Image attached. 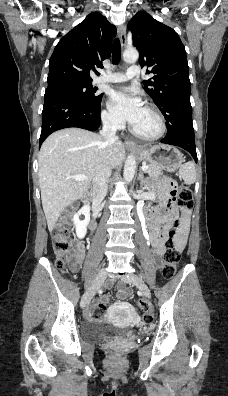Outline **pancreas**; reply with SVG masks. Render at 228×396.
I'll use <instances>...</instances> for the list:
<instances>
[{
  "label": "pancreas",
  "instance_id": "cf45deb5",
  "mask_svg": "<svg viewBox=\"0 0 228 396\" xmlns=\"http://www.w3.org/2000/svg\"><path fill=\"white\" fill-rule=\"evenodd\" d=\"M146 173L151 177H159L161 175V170L157 166L150 164L148 165V169L146 170Z\"/></svg>",
  "mask_w": 228,
  "mask_h": 396
}]
</instances>
